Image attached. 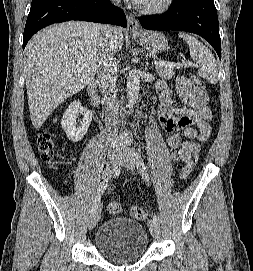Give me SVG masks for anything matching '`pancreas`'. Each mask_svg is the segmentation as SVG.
Masks as SVG:
<instances>
[{
    "instance_id": "obj_1",
    "label": "pancreas",
    "mask_w": 253,
    "mask_h": 271,
    "mask_svg": "<svg viewBox=\"0 0 253 271\" xmlns=\"http://www.w3.org/2000/svg\"><path fill=\"white\" fill-rule=\"evenodd\" d=\"M156 71H157V73L159 74V76L161 78H164V79H167V80L171 79L175 75V72L173 71V68L166 67V66L157 65L156 66Z\"/></svg>"
}]
</instances>
